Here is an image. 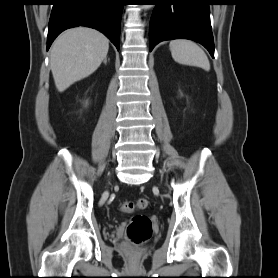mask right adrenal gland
<instances>
[{"instance_id": "obj_1", "label": "right adrenal gland", "mask_w": 278, "mask_h": 278, "mask_svg": "<svg viewBox=\"0 0 278 278\" xmlns=\"http://www.w3.org/2000/svg\"><path fill=\"white\" fill-rule=\"evenodd\" d=\"M104 64H107V58L104 59Z\"/></svg>"}]
</instances>
